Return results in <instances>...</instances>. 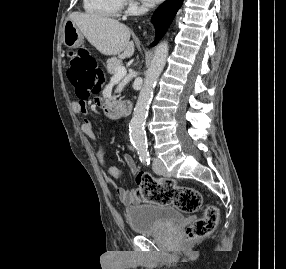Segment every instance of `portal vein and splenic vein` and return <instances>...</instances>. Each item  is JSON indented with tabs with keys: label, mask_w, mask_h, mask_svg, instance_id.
I'll list each match as a JSON object with an SVG mask.
<instances>
[{
	"label": "portal vein and splenic vein",
	"mask_w": 286,
	"mask_h": 269,
	"mask_svg": "<svg viewBox=\"0 0 286 269\" xmlns=\"http://www.w3.org/2000/svg\"><path fill=\"white\" fill-rule=\"evenodd\" d=\"M127 74L125 67L120 66L116 68L115 75L111 78L112 81H119Z\"/></svg>",
	"instance_id": "portal-vein-and-splenic-vein-1"
}]
</instances>
